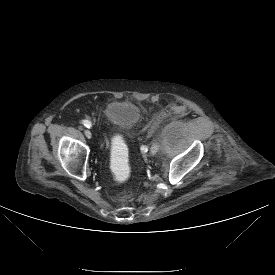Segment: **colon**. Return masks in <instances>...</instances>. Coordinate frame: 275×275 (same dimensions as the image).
Instances as JSON below:
<instances>
[{
  "instance_id": "colon-1",
  "label": "colon",
  "mask_w": 275,
  "mask_h": 275,
  "mask_svg": "<svg viewBox=\"0 0 275 275\" xmlns=\"http://www.w3.org/2000/svg\"><path fill=\"white\" fill-rule=\"evenodd\" d=\"M111 171L117 182L126 181L131 173V165L128 158L126 146L120 142L114 146V153L111 160Z\"/></svg>"
}]
</instances>
